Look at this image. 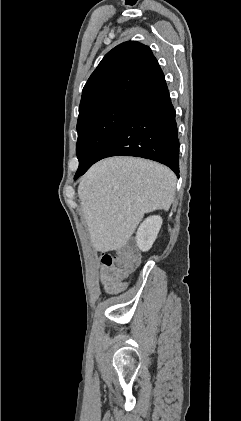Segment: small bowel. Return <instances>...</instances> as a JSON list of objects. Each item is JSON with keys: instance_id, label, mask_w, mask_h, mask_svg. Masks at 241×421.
<instances>
[{"instance_id": "obj_1", "label": "small bowel", "mask_w": 241, "mask_h": 421, "mask_svg": "<svg viewBox=\"0 0 241 421\" xmlns=\"http://www.w3.org/2000/svg\"><path fill=\"white\" fill-rule=\"evenodd\" d=\"M122 288V286H114L107 284V291L111 294H117L119 291H121Z\"/></svg>"}]
</instances>
